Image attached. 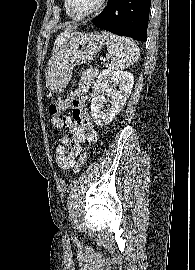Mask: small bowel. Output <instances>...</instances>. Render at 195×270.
I'll return each instance as SVG.
<instances>
[{
  "label": "small bowel",
  "instance_id": "obj_1",
  "mask_svg": "<svg viewBox=\"0 0 195 270\" xmlns=\"http://www.w3.org/2000/svg\"><path fill=\"white\" fill-rule=\"evenodd\" d=\"M96 77L94 70L85 71L78 87L68 96L67 108L71 109V114L61 117L60 115L51 117L50 123L56 129H67L71 136H61L56 147V162L62 169L73 168L77 162V156L81 152L84 142L94 141L97 133L94 128L91 116L85 109L87 94L93 80Z\"/></svg>",
  "mask_w": 195,
  "mask_h": 270
}]
</instances>
